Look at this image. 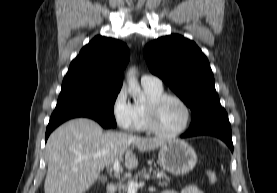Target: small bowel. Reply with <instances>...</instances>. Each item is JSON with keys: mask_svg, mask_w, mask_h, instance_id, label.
I'll list each match as a JSON object with an SVG mask.
<instances>
[{"mask_svg": "<svg viewBox=\"0 0 277 193\" xmlns=\"http://www.w3.org/2000/svg\"><path fill=\"white\" fill-rule=\"evenodd\" d=\"M162 193H204L200 188L196 185H187L182 188L180 191L177 190H165Z\"/></svg>", "mask_w": 277, "mask_h": 193, "instance_id": "1", "label": "small bowel"}]
</instances>
